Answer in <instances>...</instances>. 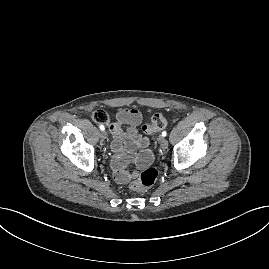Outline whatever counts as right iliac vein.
Returning a JSON list of instances; mask_svg holds the SVG:
<instances>
[{
  "label": "right iliac vein",
  "mask_w": 269,
  "mask_h": 269,
  "mask_svg": "<svg viewBox=\"0 0 269 269\" xmlns=\"http://www.w3.org/2000/svg\"><path fill=\"white\" fill-rule=\"evenodd\" d=\"M100 137L102 140H105L107 138V132L106 131H102L100 134Z\"/></svg>",
  "instance_id": "obj_1"
}]
</instances>
